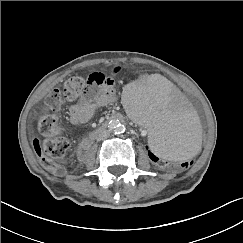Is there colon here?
I'll return each mask as SVG.
<instances>
[{"instance_id":"colon-1","label":"colon","mask_w":243,"mask_h":243,"mask_svg":"<svg viewBox=\"0 0 243 243\" xmlns=\"http://www.w3.org/2000/svg\"><path fill=\"white\" fill-rule=\"evenodd\" d=\"M121 70L120 66L111 68L108 72H97L95 68H87L85 70V78L71 77L67 79L62 89H53L49 92L45 99V106L48 111H58L65 100H74L78 98L84 91L94 85H113L115 77ZM37 128L44 139L39 138L33 140L34 151L37 154L42 167L55 175H62L64 170L60 165V161L65 157L69 143L60 136L62 126L59 118L55 114L44 113L37 120ZM144 155L150 162L157 167L167 169L173 168V163L156 156L148 146L143 148ZM198 164V158L192 157L187 162H176V169H191Z\"/></svg>"}]
</instances>
